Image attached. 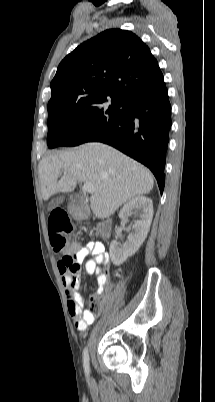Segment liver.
I'll return each mask as SVG.
<instances>
[{
  "label": "liver",
  "mask_w": 215,
  "mask_h": 402,
  "mask_svg": "<svg viewBox=\"0 0 215 402\" xmlns=\"http://www.w3.org/2000/svg\"><path fill=\"white\" fill-rule=\"evenodd\" d=\"M61 170L64 175L58 180ZM39 178L44 200L72 192L77 181L92 183L95 191L90 206L100 219L111 216L128 200L149 193L154 186L146 167L102 143H87L44 157L39 163Z\"/></svg>",
  "instance_id": "1"
}]
</instances>
